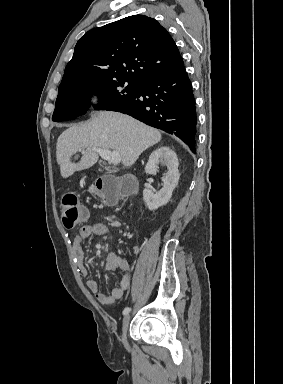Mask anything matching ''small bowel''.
<instances>
[{
	"instance_id": "1",
	"label": "small bowel",
	"mask_w": 283,
	"mask_h": 384,
	"mask_svg": "<svg viewBox=\"0 0 283 384\" xmlns=\"http://www.w3.org/2000/svg\"><path fill=\"white\" fill-rule=\"evenodd\" d=\"M107 232L108 227L104 223L95 222L82 226L74 234L72 245L73 256L79 270L84 276H87L88 271L84 263L82 242L90 236H102L107 234ZM103 270L117 271L121 274V281L119 285L114 288L110 294L107 295L101 292L97 282L93 279H88L86 285L99 303L103 305H112L121 299L128 290L131 282V269L125 260L114 253H109L104 260Z\"/></svg>"
}]
</instances>
